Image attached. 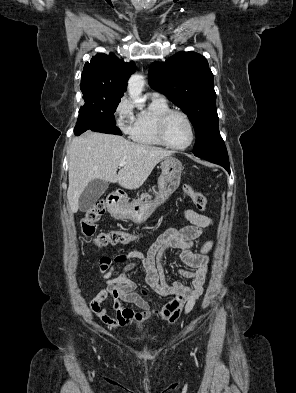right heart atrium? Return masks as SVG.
I'll list each match as a JSON object with an SVG mask.
<instances>
[{"label": "right heart atrium", "mask_w": 296, "mask_h": 393, "mask_svg": "<svg viewBox=\"0 0 296 393\" xmlns=\"http://www.w3.org/2000/svg\"><path fill=\"white\" fill-rule=\"evenodd\" d=\"M115 115L117 125L122 132L132 136L136 121L132 101L127 97L122 98L115 108Z\"/></svg>", "instance_id": "d8ad5b80"}]
</instances>
